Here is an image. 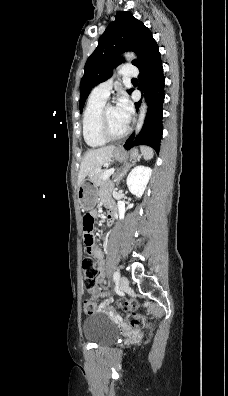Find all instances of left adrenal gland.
Listing matches in <instances>:
<instances>
[{
	"label": "left adrenal gland",
	"mask_w": 228,
	"mask_h": 396,
	"mask_svg": "<svg viewBox=\"0 0 228 396\" xmlns=\"http://www.w3.org/2000/svg\"><path fill=\"white\" fill-rule=\"evenodd\" d=\"M139 160H140V158H137V159L133 160L130 164L126 165L121 172H117L113 176L114 182H116L117 186H119L121 179L126 174V172L129 170V168L131 166H134L136 164V162L139 161Z\"/></svg>",
	"instance_id": "left-adrenal-gland-1"
}]
</instances>
